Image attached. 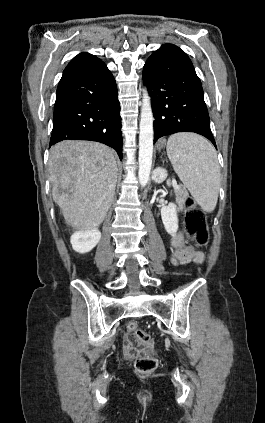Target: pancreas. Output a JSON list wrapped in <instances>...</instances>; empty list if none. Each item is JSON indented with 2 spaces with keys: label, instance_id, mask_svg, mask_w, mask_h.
I'll use <instances>...</instances> for the list:
<instances>
[{
  "label": "pancreas",
  "instance_id": "obj_1",
  "mask_svg": "<svg viewBox=\"0 0 265 423\" xmlns=\"http://www.w3.org/2000/svg\"><path fill=\"white\" fill-rule=\"evenodd\" d=\"M176 195H177V198H176L177 204L179 205L180 208H182L187 196V192L184 188L180 187L179 190L176 192Z\"/></svg>",
  "mask_w": 265,
  "mask_h": 423
}]
</instances>
